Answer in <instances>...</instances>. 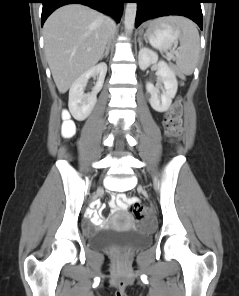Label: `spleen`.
I'll return each instance as SVG.
<instances>
[{"label": "spleen", "instance_id": "spleen-1", "mask_svg": "<svg viewBox=\"0 0 239 296\" xmlns=\"http://www.w3.org/2000/svg\"><path fill=\"white\" fill-rule=\"evenodd\" d=\"M164 22L181 30L182 34L180 47L176 54V65L181 73L191 75L194 71L200 49V38L197 28L191 21L180 17H169L165 20H157L151 24V28L154 27V25H162Z\"/></svg>", "mask_w": 239, "mask_h": 296}]
</instances>
